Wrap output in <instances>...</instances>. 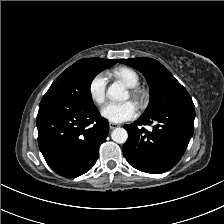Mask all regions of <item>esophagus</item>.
I'll use <instances>...</instances> for the list:
<instances>
[{"mask_svg":"<svg viewBox=\"0 0 224 224\" xmlns=\"http://www.w3.org/2000/svg\"><path fill=\"white\" fill-rule=\"evenodd\" d=\"M118 126H119V125L116 124V123H112V122L109 123V128H110L111 130L115 129V128L118 127Z\"/></svg>","mask_w":224,"mask_h":224,"instance_id":"1","label":"esophagus"}]
</instances>
